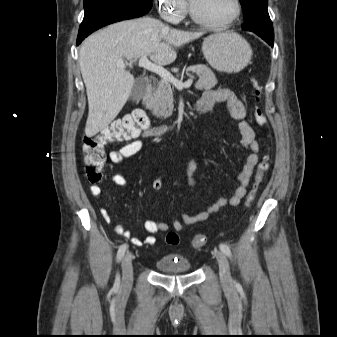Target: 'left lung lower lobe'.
<instances>
[{
    "instance_id": "obj_1",
    "label": "left lung lower lobe",
    "mask_w": 337,
    "mask_h": 337,
    "mask_svg": "<svg viewBox=\"0 0 337 337\" xmlns=\"http://www.w3.org/2000/svg\"><path fill=\"white\" fill-rule=\"evenodd\" d=\"M248 31H251V32L257 34L264 41H266L270 46L273 47L274 34H269V33L261 32V31H258V30H248Z\"/></svg>"
}]
</instances>
